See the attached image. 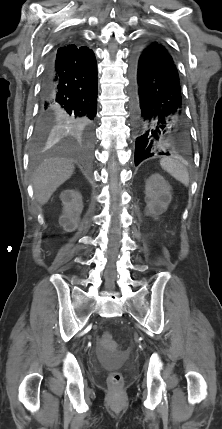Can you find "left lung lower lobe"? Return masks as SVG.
Masks as SVG:
<instances>
[{"label": "left lung lower lobe", "instance_id": "left-lung-lower-lobe-1", "mask_svg": "<svg viewBox=\"0 0 222 429\" xmlns=\"http://www.w3.org/2000/svg\"><path fill=\"white\" fill-rule=\"evenodd\" d=\"M130 96L136 166L154 155L188 151L189 128L178 71L160 42L149 40L134 48Z\"/></svg>", "mask_w": 222, "mask_h": 429}]
</instances>
